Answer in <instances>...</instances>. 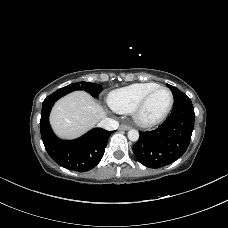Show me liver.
Listing matches in <instances>:
<instances>
[{"label": "liver", "instance_id": "6515ba94", "mask_svg": "<svg viewBox=\"0 0 228 228\" xmlns=\"http://www.w3.org/2000/svg\"><path fill=\"white\" fill-rule=\"evenodd\" d=\"M104 117V109L93 97L84 91H75L57 101L50 123L59 137L73 139L93 128Z\"/></svg>", "mask_w": 228, "mask_h": 228}]
</instances>
